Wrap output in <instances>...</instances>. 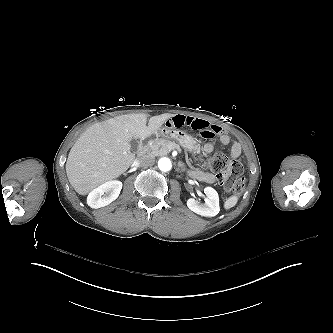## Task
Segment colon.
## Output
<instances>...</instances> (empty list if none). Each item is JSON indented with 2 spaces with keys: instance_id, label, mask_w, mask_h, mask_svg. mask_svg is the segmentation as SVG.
<instances>
[{
  "instance_id": "1",
  "label": "colon",
  "mask_w": 333,
  "mask_h": 333,
  "mask_svg": "<svg viewBox=\"0 0 333 333\" xmlns=\"http://www.w3.org/2000/svg\"><path fill=\"white\" fill-rule=\"evenodd\" d=\"M207 169L216 174V182L227 194H240L245 188V176L241 162L236 164L234 157L218 151L203 160Z\"/></svg>"
}]
</instances>
